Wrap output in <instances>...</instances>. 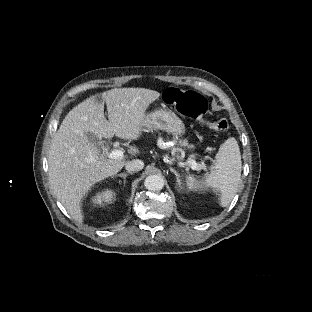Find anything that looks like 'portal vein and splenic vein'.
Returning <instances> with one entry per match:
<instances>
[{"label":"portal vein and splenic vein","instance_id":"18ae733b","mask_svg":"<svg viewBox=\"0 0 312 312\" xmlns=\"http://www.w3.org/2000/svg\"><path fill=\"white\" fill-rule=\"evenodd\" d=\"M100 158L119 159V158H122V151H120L118 149H113L110 153L106 154L105 156L104 155L100 156ZM91 161L97 162V161H99V157L92 156ZM191 166L193 169H197L199 171L206 168L204 163H195L193 161H191Z\"/></svg>","mask_w":312,"mask_h":312}]
</instances>
